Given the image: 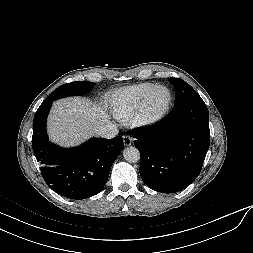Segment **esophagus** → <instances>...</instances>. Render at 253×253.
I'll use <instances>...</instances> for the list:
<instances>
[{
	"instance_id": "34e87169",
	"label": "esophagus",
	"mask_w": 253,
	"mask_h": 253,
	"mask_svg": "<svg viewBox=\"0 0 253 253\" xmlns=\"http://www.w3.org/2000/svg\"><path fill=\"white\" fill-rule=\"evenodd\" d=\"M133 142V138L130 137L129 135L123 136V143L125 146H130Z\"/></svg>"
}]
</instances>
